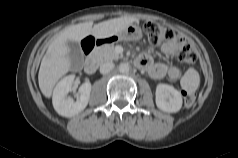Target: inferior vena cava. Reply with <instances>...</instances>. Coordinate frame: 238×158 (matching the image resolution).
<instances>
[{
  "instance_id": "inferior-vena-cava-1",
  "label": "inferior vena cava",
  "mask_w": 238,
  "mask_h": 158,
  "mask_svg": "<svg viewBox=\"0 0 238 158\" xmlns=\"http://www.w3.org/2000/svg\"><path fill=\"white\" fill-rule=\"evenodd\" d=\"M114 68L113 62H105L100 65V73L107 74Z\"/></svg>"
}]
</instances>
